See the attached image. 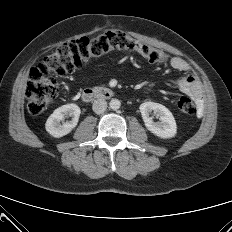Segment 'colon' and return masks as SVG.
Segmentation results:
<instances>
[{
  "label": "colon",
  "instance_id": "5ec220e1",
  "mask_svg": "<svg viewBox=\"0 0 232 232\" xmlns=\"http://www.w3.org/2000/svg\"><path fill=\"white\" fill-rule=\"evenodd\" d=\"M114 51L136 52L153 63H163L168 58L164 51L139 42L122 31H108L95 38L66 42L31 69L25 89L28 111L33 115L40 114L56 99L58 84L54 77L71 74L93 59ZM177 106L185 115L196 112L193 101L186 96L180 97Z\"/></svg>",
  "mask_w": 232,
  "mask_h": 232
}]
</instances>
